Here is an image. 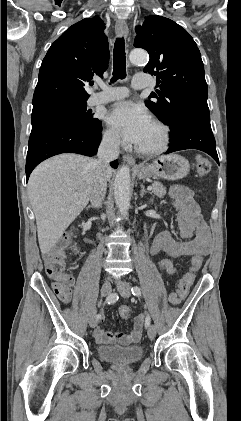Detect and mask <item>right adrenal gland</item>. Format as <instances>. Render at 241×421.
I'll return each instance as SVG.
<instances>
[{"mask_svg": "<svg viewBox=\"0 0 241 421\" xmlns=\"http://www.w3.org/2000/svg\"><path fill=\"white\" fill-rule=\"evenodd\" d=\"M89 208H93V206H92V205H89V206L87 207V209H89Z\"/></svg>", "mask_w": 241, "mask_h": 421, "instance_id": "1", "label": "right adrenal gland"}]
</instances>
